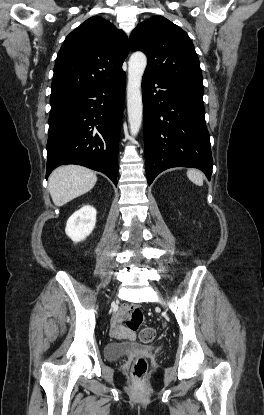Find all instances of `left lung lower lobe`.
<instances>
[{"label": "left lung lower lobe", "instance_id": "1", "mask_svg": "<svg viewBox=\"0 0 264 415\" xmlns=\"http://www.w3.org/2000/svg\"><path fill=\"white\" fill-rule=\"evenodd\" d=\"M203 86L144 73L142 79L147 182L172 167L202 170L210 180L213 161L205 124Z\"/></svg>", "mask_w": 264, "mask_h": 415}]
</instances>
